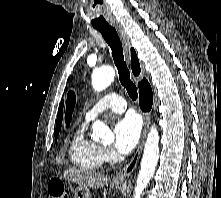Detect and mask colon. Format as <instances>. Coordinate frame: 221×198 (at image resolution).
Masks as SVG:
<instances>
[{
  "label": "colon",
  "instance_id": "1",
  "mask_svg": "<svg viewBox=\"0 0 221 198\" xmlns=\"http://www.w3.org/2000/svg\"><path fill=\"white\" fill-rule=\"evenodd\" d=\"M49 198H68L64 185L60 180L53 179L48 184Z\"/></svg>",
  "mask_w": 221,
  "mask_h": 198
}]
</instances>
